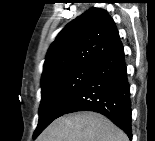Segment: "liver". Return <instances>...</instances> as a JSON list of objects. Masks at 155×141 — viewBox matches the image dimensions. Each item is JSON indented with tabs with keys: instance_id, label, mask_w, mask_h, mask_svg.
I'll list each match as a JSON object with an SVG mask.
<instances>
[{
	"instance_id": "6515ba94",
	"label": "liver",
	"mask_w": 155,
	"mask_h": 141,
	"mask_svg": "<svg viewBox=\"0 0 155 141\" xmlns=\"http://www.w3.org/2000/svg\"><path fill=\"white\" fill-rule=\"evenodd\" d=\"M39 141H128V137L103 115L78 112L57 118Z\"/></svg>"
}]
</instances>
